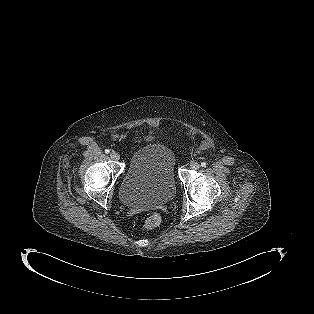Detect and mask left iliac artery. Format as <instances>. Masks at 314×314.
<instances>
[{"instance_id": "left-iliac-artery-1", "label": "left iliac artery", "mask_w": 314, "mask_h": 314, "mask_svg": "<svg viewBox=\"0 0 314 314\" xmlns=\"http://www.w3.org/2000/svg\"><path fill=\"white\" fill-rule=\"evenodd\" d=\"M201 166H202V167H206V163H205V162H202V163H201Z\"/></svg>"}]
</instances>
